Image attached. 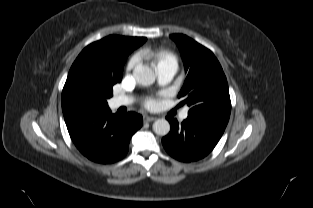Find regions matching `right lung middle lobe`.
Returning a JSON list of instances; mask_svg holds the SVG:
<instances>
[{
	"instance_id": "1",
	"label": "right lung middle lobe",
	"mask_w": 313,
	"mask_h": 208,
	"mask_svg": "<svg viewBox=\"0 0 313 208\" xmlns=\"http://www.w3.org/2000/svg\"><path fill=\"white\" fill-rule=\"evenodd\" d=\"M119 55H117V58ZM123 67L118 70L86 72L72 78L67 93L71 100L107 106V99L112 96L113 85L122 79Z\"/></svg>"
}]
</instances>
